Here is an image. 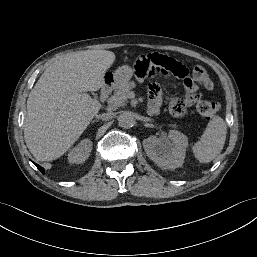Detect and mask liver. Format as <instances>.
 I'll list each match as a JSON object with an SVG mask.
<instances>
[{"label": "liver", "instance_id": "6515ba94", "mask_svg": "<svg viewBox=\"0 0 257 257\" xmlns=\"http://www.w3.org/2000/svg\"><path fill=\"white\" fill-rule=\"evenodd\" d=\"M115 61L107 50L68 53L46 68L27 100L26 145L37 161L61 157L80 137L101 105L87 91L104 85Z\"/></svg>", "mask_w": 257, "mask_h": 257}]
</instances>
